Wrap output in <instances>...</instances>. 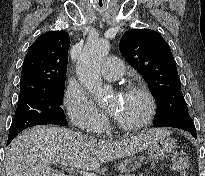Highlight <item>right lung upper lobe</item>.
Returning <instances> with one entry per match:
<instances>
[{
  "instance_id": "right-lung-upper-lobe-1",
  "label": "right lung upper lobe",
  "mask_w": 205,
  "mask_h": 176,
  "mask_svg": "<svg viewBox=\"0 0 205 176\" xmlns=\"http://www.w3.org/2000/svg\"><path fill=\"white\" fill-rule=\"evenodd\" d=\"M70 38L64 31L40 35L25 56L20 95L65 83Z\"/></svg>"
}]
</instances>
